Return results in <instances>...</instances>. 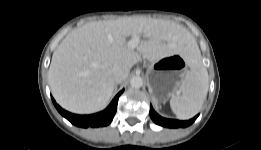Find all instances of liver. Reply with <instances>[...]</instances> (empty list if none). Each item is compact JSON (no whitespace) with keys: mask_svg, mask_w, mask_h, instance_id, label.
Here are the masks:
<instances>
[{"mask_svg":"<svg viewBox=\"0 0 261 150\" xmlns=\"http://www.w3.org/2000/svg\"><path fill=\"white\" fill-rule=\"evenodd\" d=\"M147 38L136 48L126 38ZM192 35L169 20L124 17L96 21L74 29L53 53L48 80L57 103L77 114H90L109 102L115 81L114 66L129 69L141 58L156 61L180 53L189 60Z\"/></svg>","mask_w":261,"mask_h":150,"instance_id":"6515ba94","label":"liver"}]
</instances>
